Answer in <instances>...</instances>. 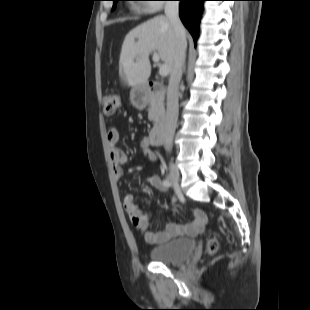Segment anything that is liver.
Returning <instances> with one entry per match:
<instances>
[{
  "mask_svg": "<svg viewBox=\"0 0 310 310\" xmlns=\"http://www.w3.org/2000/svg\"><path fill=\"white\" fill-rule=\"evenodd\" d=\"M175 33L166 16H156L131 30L125 37L120 54V77L128 86L147 83L151 74L149 55L159 54L168 66H173Z\"/></svg>",
  "mask_w": 310,
  "mask_h": 310,
  "instance_id": "1",
  "label": "liver"
}]
</instances>
